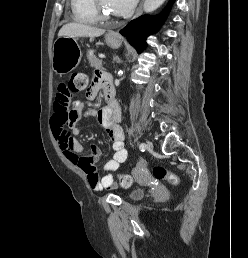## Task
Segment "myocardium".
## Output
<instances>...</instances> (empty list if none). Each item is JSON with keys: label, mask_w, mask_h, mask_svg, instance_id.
<instances>
[{"label": "myocardium", "mask_w": 248, "mask_h": 258, "mask_svg": "<svg viewBox=\"0 0 248 258\" xmlns=\"http://www.w3.org/2000/svg\"><path fill=\"white\" fill-rule=\"evenodd\" d=\"M101 0H93V7L98 20L109 21L112 16L104 9Z\"/></svg>", "instance_id": "f54148a6"}]
</instances>
